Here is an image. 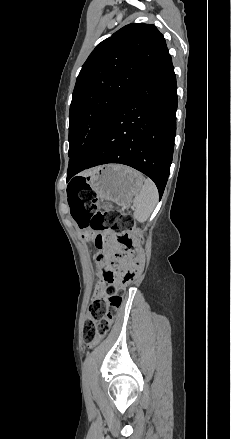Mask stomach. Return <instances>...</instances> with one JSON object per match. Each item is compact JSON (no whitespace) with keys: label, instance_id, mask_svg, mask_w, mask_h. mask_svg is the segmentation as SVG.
<instances>
[{"label":"stomach","instance_id":"obj_1","mask_svg":"<svg viewBox=\"0 0 231 439\" xmlns=\"http://www.w3.org/2000/svg\"><path fill=\"white\" fill-rule=\"evenodd\" d=\"M84 180L100 201H111L119 206H127L144 182L138 171L122 165L99 167Z\"/></svg>","mask_w":231,"mask_h":439}]
</instances>
